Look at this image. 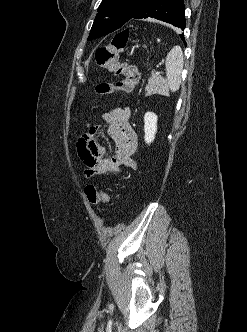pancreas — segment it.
<instances>
[{
	"mask_svg": "<svg viewBox=\"0 0 247 332\" xmlns=\"http://www.w3.org/2000/svg\"><path fill=\"white\" fill-rule=\"evenodd\" d=\"M163 84V80L161 77L157 76L156 74H152V76L148 79V84L146 85V95L150 96L156 94L161 88Z\"/></svg>",
	"mask_w": 247,
	"mask_h": 332,
	"instance_id": "obj_1",
	"label": "pancreas"
}]
</instances>
